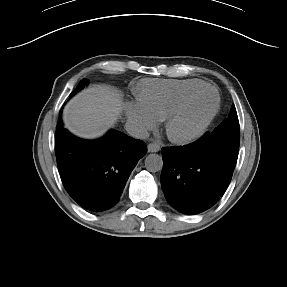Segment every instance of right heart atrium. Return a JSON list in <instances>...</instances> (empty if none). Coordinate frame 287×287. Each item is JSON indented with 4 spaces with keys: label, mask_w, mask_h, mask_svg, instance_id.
<instances>
[{
    "label": "right heart atrium",
    "mask_w": 287,
    "mask_h": 287,
    "mask_svg": "<svg viewBox=\"0 0 287 287\" xmlns=\"http://www.w3.org/2000/svg\"><path fill=\"white\" fill-rule=\"evenodd\" d=\"M126 116L131 125L140 133L153 130L158 120L138 102L126 106Z\"/></svg>",
    "instance_id": "d8ad5b80"
}]
</instances>
